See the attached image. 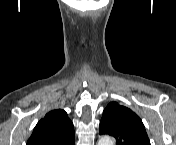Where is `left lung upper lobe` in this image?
Wrapping results in <instances>:
<instances>
[{"mask_svg": "<svg viewBox=\"0 0 176 145\" xmlns=\"http://www.w3.org/2000/svg\"><path fill=\"white\" fill-rule=\"evenodd\" d=\"M99 133L115 137L116 145H150L141 119L117 102H111L105 108Z\"/></svg>", "mask_w": 176, "mask_h": 145, "instance_id": "5c2ea615", "label": "left lung upper lobe"}]
</instances>
